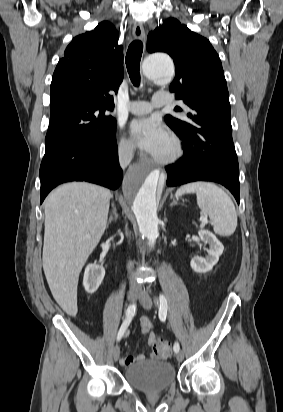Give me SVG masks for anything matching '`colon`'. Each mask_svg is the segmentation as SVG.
<instances>
[{
  "label": "colon",
  "mask_w": 283,
  "mask_h": 412,
  "mask_svg": "<svg viewBox=\"0 0 283 412\" xmlns=\"http://www.w3.org/2000/svg\"><path fill=\"white\" fill-rule=\"evenodd\" d=\"M155 355L159 358H166L171 354V344L162 339H158L154 342Z\"/></svg>",
  "instance_id": "obj_1"
}]
</instances>
